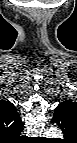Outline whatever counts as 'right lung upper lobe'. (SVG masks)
Returning <instances> with one entry per match:
<instances>
[{"instance_id": "right-lung-upper-lobe-1", "label": "right lung upper lobe", "mask_w": 77, "mask_h": 143, "mask_svg": "<svg viewBox=\"0 0 77 143\" xmlns=\"http://www.w3.org/2000/svg\"><path fill=\"white\" fill-rule=\"evenodd\" d=\"M23 130V123L15 106L6 101H0V131L9 136H18Z\"/></svg>"}]
</instances>
